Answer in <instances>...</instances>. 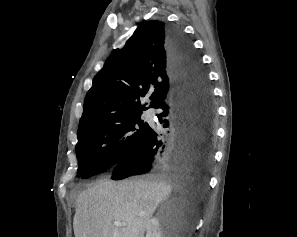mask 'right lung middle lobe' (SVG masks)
I'll list each match as a JSON object with an SVG mask.
<instances>
[{
	"label": "right lung middle lobe",
	"instance_id": "dd1d6c3e",
	"mask_svg": "<svg viewBox=\"0 0 297 237\" xmlns=\"http://www.w3.org/2000/svg\"><path fill=\"white\" fill-rule=\"evenodd\" d=\"M141 115L133 112L110 117L78 135V177L87 178L113 168L136 149L151 130Z\"/></svg>",
	"mask_w": 297,
	"mask_h": 237
}]
</instances>
